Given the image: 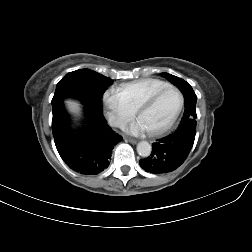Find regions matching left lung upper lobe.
Wrapping results in <instances>:
<instances>
[{"label":"left lung upper lobe","instance_id":"obj_1","mask_svg":"<svg viewBox=\"0 0 252 252\" xmlns=\"http://www.w3.org/2000/svg\"><path fill=\"white\" fill-rule=\"evenodd\" d=\"M163 75L166 76L171 83L178 86L182 92L186 89L193 90L192 87L185 80L167 73H163Z\"/></svg>","mask_w":252,"mask_h":252}]
</instances>
